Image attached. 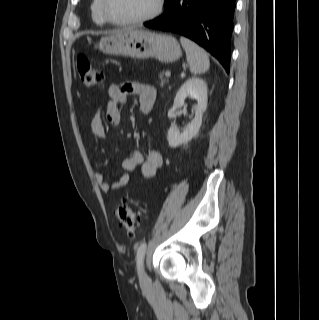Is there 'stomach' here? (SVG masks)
Segmentation results:
<instances>
[{"label": "stomach", "instance_id": "0dacf381", "mask_svg": "<svg viewBox=\"0 0 319 320\" xmlns=\"http://www.w3.org/2000/svg\"><path fill=\"white\" fill-rule=\"evenodd\" d=\"M97 48L109 55L137 59L154 57L163 63L175 62L182 55L175 37L143 29H128L103 37Z\"/></svg>", "mask_w": 319, "mask_h": 320}]
</instances>
